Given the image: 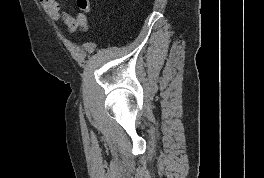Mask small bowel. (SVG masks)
I'll return each instance as SVG.
<instances>
[{
  "instance_id": "c3829d8e",
  "label": "small bowel",
  "mask_w": 264,
  "mask_h": 178,
  "mask_svg": "<svg viewBox=\"0 0 264 178\" xmlns=\"http://www.w3.org/2000/svg\"><path fill=\"white\" fill-rule=\"evenodd\" d=\"M48 16L53 21H63L70 33L76 32L78 29L87 28V16L79 13L73 17L64 12L57 0H39Z\"/></svg>"
}]
</instances>
